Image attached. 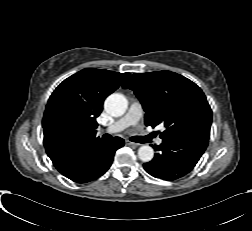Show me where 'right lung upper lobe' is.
Returning <instances> with one entry per match:
<instances>
[{
    "instance_id": "obj_1",
    "label": "right lung upper lobe",
    "mask_w": 252,
    "mask_h": 231,
    "mask_svg": "<svg viewBox=\"0 0 252 231\" xmlns=\"http://www.w3.org/2000/svg\"><path fill=\"white\" fill-rule=\"evenodd\" d=\"M129 75L86 68L65 79L52 93L42 122L44 146L61 174L71 169L83 144L100 140L96 118L103 102Z\"/></svg>"
}]
</instances>
